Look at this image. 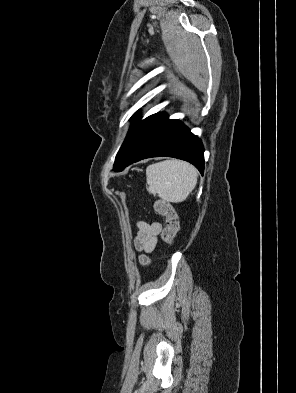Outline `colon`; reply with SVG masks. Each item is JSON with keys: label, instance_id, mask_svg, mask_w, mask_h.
Segmentation results:
<instances>
[{"label": "colon", "instance_id": "1", "mask_svg": "<svg viewBox=\"0 0 296 393\" xmlns=\"http://www.w3.org/2000/svg\"><path fill=\"white\" fill-rule=\"evenodd\" d=\"M154 210L165 218V227L162 232L163 241L168 245L173 244L179 228V219L173 205L165 200L156 199Z\"/></svg>", "mask_w": 296, "mask_h": 393}]
</instances>
